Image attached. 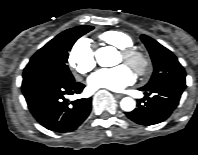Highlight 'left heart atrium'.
<instances>
[{"instance_id":"39dd6f15","label":"left heart atrium","mask_w":198,"mask_h":155,"mask_svg":"<svg viewBox=\"0 0 198 155\" xmlns=\"http://www.w3.org/2000/svg\"><path fill=\"white\" fill-rule=\"evenodd\" d=\"M89 85L94 89L105 88L121 91L134 82L132 70L125 64L110 69H100L89 77Z\"/></svg>"}]
</instances>
